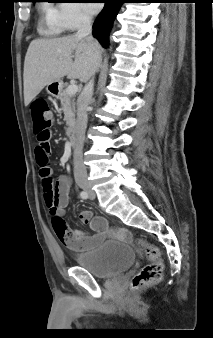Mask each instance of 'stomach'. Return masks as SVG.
<instances>
[{
    "label": "stomach",
    "instance_id": "obj_1",
    "mask_svg": "<svg viewBox=\"0 0 213 338\" xmlns=\"http://www.w3.org/2000/svg\"><path fill=\"white\" fill-rule=\"evenodd\" d=\"M61 86H62V82L61 81H56V82H53L49 85H47V92L52 95V96H56L59 91L61 90Z\"/></svg>",
    "mask_w": 213,
    "mask_h": 338
}]
</instances>
